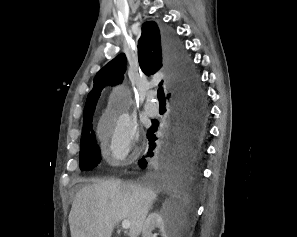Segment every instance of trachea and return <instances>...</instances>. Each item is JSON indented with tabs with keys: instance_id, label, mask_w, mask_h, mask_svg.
<instances>
[{
	"instance_id": "3493384b",
	"label": "trachea",
	"mask_w": 297,
	"mask_h": 237,
	"mask_svg": "<svg viewBox=\"0 0 297 237\" xmlns=\"http://www.w3.org/2000/svg\"><path fill=\"white\" fill-rule=\"evenodd\" d=\"M157 97H158L159 101H165V94H164V91H163V87L158 88Z\"/></svg>"
}]
</instances>
